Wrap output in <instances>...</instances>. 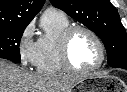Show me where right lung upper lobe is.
Returning <instances> with one entry per match:
<instances>
[{
  "mask_svg": "<svg viewBox=\"0 0 127 92\" xmlns=\"http://www.w3.org/2000/svg\"><path fill=\"white\" fill-rule=\"evenodd\" d=\"M45 0H0V27L28 25Z\"/></svg>",
  "mask_w": 127,
  "mask_h": 92,
  "instance_id": "right-lung-upper-lobe-1",
  "label": "right lung upper lobe"
}]
</instances>
